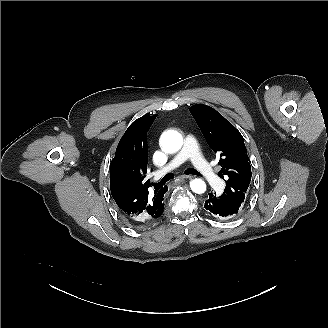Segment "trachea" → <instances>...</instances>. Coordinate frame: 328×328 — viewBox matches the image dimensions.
Segmentation results:
<instances>
[{
	"instance_id": "obj_1",
	"label": "trachea",
	"mask_w": 328,
	"mask_h": 328,
	"mask_svg": "<svg viewBox=\"0 0 328 328\" xmlns=\"http://www.w3.org/2000/svg\"><path fill=\"white\" fill-rule=\"evenodd\" d=\"M185 174H187V175H190L191 174V175H196V176H200L201 175L199 172H197L196 170H194L192 168H189V169L185 170ZM173 178H174V174H171V173L166 174L163 177V179L159 183L155 184L154 186H155V188H158L159 189L160 187H162L163 185H165L169 180H171Z\"/></svg>"
}]
</instances>
